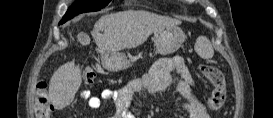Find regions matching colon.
Listing matches in <instances>:
<instances>
[{
  "label": "colon",
  "instance_id": "1",
  "mask_svg": "<svg viewBox=\"0 0 273 118\" xmlns=\"http://www.w3.org/2000/svg\"><path fill=\"white\" fill-rule=\"evenodd\" d=\"M199 70L205 78H207L213 85V91L207 101V106L210 110L215 111L220 109L226 99V81L222 72L211 65L202 64ZM95 80V74L86 70L84 72V81L87 84H92ZM47 84L44 81L38 83L36 115L38 118H49L52 104L48 98L46 91Z\"/></svg>",
  "mask_w": 273,
  "mask_h": 118
}]
</instances>
